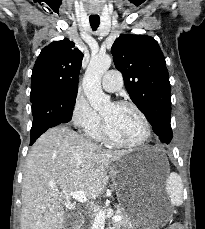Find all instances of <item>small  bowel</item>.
I'll list each match as a JSON object with an SVG mask.
<instances>
[{
  "label": "small bowel",
  "instance_id": "small-bowel-1",
  "mask_svg": "<svg viewBox=\"0 0 205 229\" xmlns=\"http://www.w3.org/2000/svg\"><path fill=\"white\" fill-rule=\"evenodd\" d=\"M166 229H181V226L178 224H173L172 226L166 228Z\"/></svg>",
  "mask_w": 205,
  "mask_h": 229
}]
</instances>
